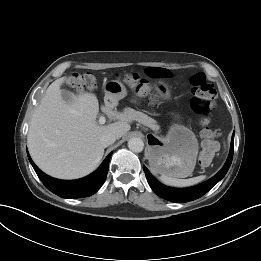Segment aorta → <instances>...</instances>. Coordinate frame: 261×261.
<instances>
[{"label":"aorta","instance_id":"1","mask_svg":"<svg viewBox=\"0 0 261 261\" xmlns=\"http://www.w3.org/2000/svg\"><path fill=\"white\" fill-rule=\"evenodd\" d=\"M128 148L135 153L142 152L144 149V142L141 138H137V137L131 138L128 141Z\"/></svg>","mask_w":261,"mask_h":261}]
</instances>
